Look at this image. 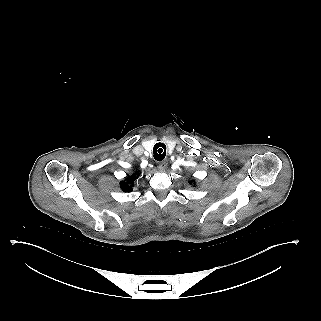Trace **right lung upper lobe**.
<instances>
[{
	"label": "right lung upper lobe",
	"mask_w": 321,
	"mask_h": 321,
	"mask_svg": "<svg viewBox=\"0 0 321 321\" xmlns=\"http://www.w3.org/2000/svg\"><path fill=\"white\" fill-rule=\"evenodd\" d=\"M139 177V171L133 173L131 176H128L124 181L120 182V187L124 192L132 191V186L134 181Z\"/></svg>",
	"instance_id": "cb5924a9"
}]
</instances>
